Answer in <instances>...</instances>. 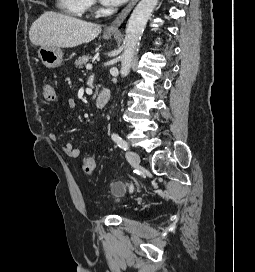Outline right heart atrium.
Masks as SVG:
<instances>
[{
    "instance_id": "obj_1",
    "label": "right heart atrium",
    "mask_w": 255,
    "mask_h": 272,
    "mask_svg": "<svg viewBox=\"0 0 255 272\" xmlns=\"http://www.w3.org/2000/svg\"><path fill=\"white\" fill-rule=\"evenodd\" d=\"M93 0H86L87 8L91 7L93 5Z\"/></svg>"
}]
</instances>
